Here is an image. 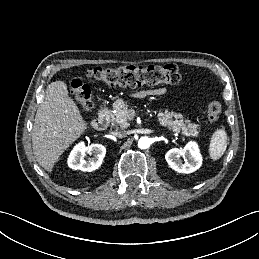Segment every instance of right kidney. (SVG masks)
<instances>
[{
    "label": "right kidney",
    "instance_id": "right-kidney-1",
    "mask_svg": "<svg viewBox=\"0 0 259 259\" xmlns=\"http://www.w3.org/2000/svg\"><path fill=\"white\" fill-rule=\"evenodd\" d=\"M106 148L101 144H91L85 146L84 142H79L70 152L68 158V166L74 170L91 172L98 169L105 157ZM87 155L93 157L87 158Z\"/></svg>",
    "mask_w": 259,
    "mask_h": 259
}]
</instances>
